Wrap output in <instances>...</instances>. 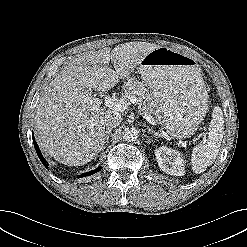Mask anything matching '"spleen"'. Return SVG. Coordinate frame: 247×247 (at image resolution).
I'll list each match as a JSON object with an SVG mask.
<instances>
[{"instance_id": "spleen-1", "label": "spleen", "mask_w": 247, "mask_h": 247, "mask_svg": "<svg viewBox=\"0 0 247 247\" xmlns=\"http://www.w3.org/2000/svg\"><path fill=\"white\" fill-rule=\"evenodd\" d=\"M208 140L194 147L191 164L195 173H203L212 165L219 153L224 132V119L221 108L215 107L210 122Z\"/></svg>"}]
</instances>
